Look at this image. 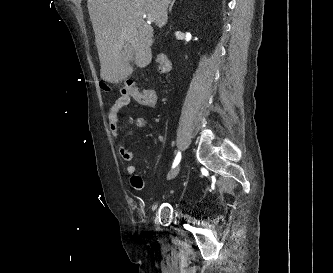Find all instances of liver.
Here are the masks:
<instances>
[{"label":"liver","mask_w":333,"mask_h":273,"mask_svg":"<svg viewBox=\"0 0 333 273\" xmlns=\"http://www.w3.org/2000/svg\"><path fill=\"white\" fill-rule=\"evenodd\" d=\"M171 0H88L100 60V76L104 81L119 83L133 73L125 63L126 51H133L134 64L143 68L152 60L154 31L144 20L153 18L162 28L167 24Z\"/></svg>","instance_id":"1"}]
</instances>
